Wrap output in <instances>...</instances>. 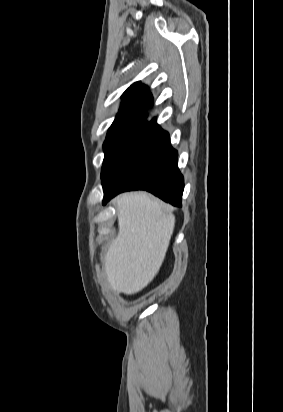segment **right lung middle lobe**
I'll use <instances>...</instances> for the list:
<instances>
[{"label":"right lung middle lobe","mask_w":283,"mask_h":412,"mask_svg":"<svg viewBox=\"0 0 283 412\" xmlns=\"http://www.w3.org/2000/svg\"><path fill=\"white\" fill-rule=\"evenodd\" d=\"M154 124L155 120L146 122L144 115H123L115 118L103 144L105 158L101 170L102 179L123 157L139 145L147 130Z\"/></svg>","instance_id":"dd1d6c3e"}]
</instances>
